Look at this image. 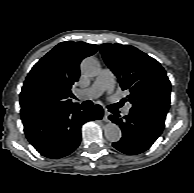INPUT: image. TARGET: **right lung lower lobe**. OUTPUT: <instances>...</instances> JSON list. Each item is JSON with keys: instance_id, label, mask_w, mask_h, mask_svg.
I'll return each mask as SVG.
<instances>
[{"instance_id": "obj_1", "label": "right lung lower lobe", "mask_w": 194, "mask_h": 193, "mask_svg": "<svg viewBox=\"0 0 194 193\" xmlns=\"http://www.w3.org/2000/svg\"><path fill=\"white\" fill-rule=\"evenodd\" d=\"M100 105L84 108L78 103L59 111L22 120L28 141L43 156L62 158L72 153L81 141V126L100 120Z\"/></svg>"}]
</instances>
